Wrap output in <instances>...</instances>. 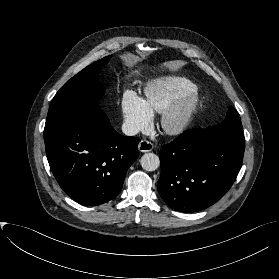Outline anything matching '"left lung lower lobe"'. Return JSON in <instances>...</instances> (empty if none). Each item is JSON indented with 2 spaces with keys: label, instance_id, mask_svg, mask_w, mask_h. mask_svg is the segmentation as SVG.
<instances>
[{
  "label": "left lung lower lobe",
  "instance_id": "obj_1",
  "mask_svg": "<svg viewBox=\"0 0 279 279\" xmlns=\"http://www.w3.org/2000/svg\"><path fill=\"white\" fill-rule=\"evenodd\" d=\"M245 139L228 131L190 129L159 154L157 188L172 209L197 212L215 204L231 188L243 162Z\"/></svg>",
  "mask_w": 279,
  "mask_h": 279
}]
</instances>
